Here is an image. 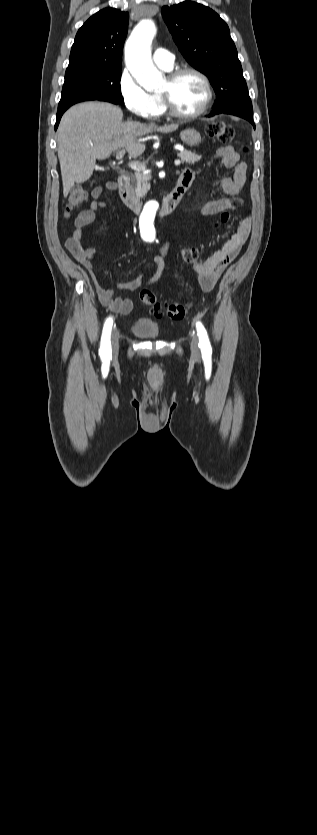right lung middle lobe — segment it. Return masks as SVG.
Instances as JSON below:
<instances>
[{
  "instance_id": "right-lung-middle-lobe-1",
  "label": "right lung middle lobe",
  "mask_w": 317,
  "mask_h": 835,
  "mask_svg": "<svg viewBox=\"0 0 317 835\" xmlns=\"http://www.w3.org/2000/svg\"><path fill=\"white\" fill-rule=\"evenodd\" d=\"M121 66L82 64L69 66L65 73L58 109L88 100L109 98L123 105L120 88Z\"/></svg>"
}]
</instances>
